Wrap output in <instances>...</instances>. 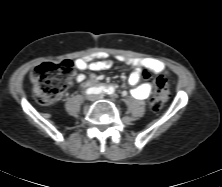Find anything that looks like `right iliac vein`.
I'll return each mask as SVG.
<instances>
[{
  "mask_svg": "<svg viewBox=\"0 0 222 187\" xmlns=\"http://www.w3.org/2000/svg\"><path fill=\"white\" fill-rule=\"evenodd\" d=\"M95 99V96L94 95H89V96H87V100H89V101H92V100H94Z\"/></svg>",
  "mask_w": 222,
  "mask_h": 187,
  "instance_id": "1",
  "label": "right iliac vein"
}]
</instances>
